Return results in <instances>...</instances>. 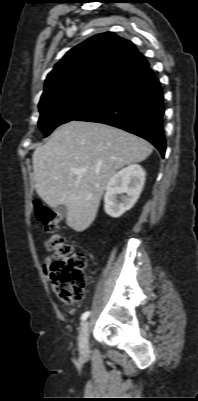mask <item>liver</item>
Returning a JSON list of instances; mask_svg holds the SVG:
<instances>
[{
  "label": "liver",
  "mask_w": 198,
  "mask_h": 401,
  "mask_svg": "<svg viewBox=\"0 0 198 401\" xmlns=\"http://www.w3.org/2000/svg\"><path fill=\"white\" fill-rule=\"evenodd\" d=\"M152 148L122 129L72 120L33 152L36 193L51 207L65 205L67 225L83 231L95 220L110 178L120 168L144 161Z\"/></svg>",
  "instance_id": "liver-1"
}]
</instances>
